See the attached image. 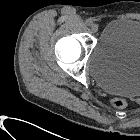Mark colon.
Instances as JSON below:
<instances>
[{"instance_id": "obj_1", "label": "colon", "mask_w": 140, "mask_h": 140, "mask_svg": "<svg viewBox=\"0 0 140 140\" xmlns=\"http://www.w3.org/2000/svg\"><path fill=\"white\" fill-rule=\"evenodd\" d=\"M111 104L113 105V107L118 108V109H123L126 107L127 102L124 98L122 97H114L111 100Z\"/></svg>"}]
</instances>
